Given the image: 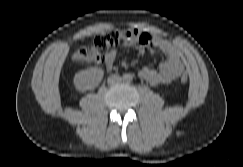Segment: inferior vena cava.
Here are the masks:
<instances>
[{
	"instance_id": "1",
	"label": "inferior vena cava",
	"mask_w": 243,
	"mask_h": 167,
	"mask_svg": "<svg viewBox=\"0 0 243 167\" xmlns=\"http://www.w3.org/2000/svg\"><path fill=\"white\" fill-rule=\"evenodd\" d=\"M121 81V77L118 76V75H111L109 78H108V84L109 85H114V84H117Z\"/></svg>"
}]
</instances>
